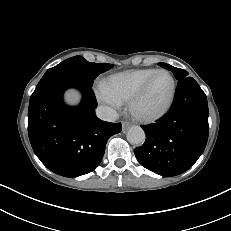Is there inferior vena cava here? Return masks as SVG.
<instances>
[{
  "label": "inferior vena cava",
  "instance_id": "obj_1",
  "mask_svg": "<svg viewBox=\"0 0 231 231\" xmlns=\"http://www.w3.org/2000/svg\"><path fill=\"white\" fill-rule=\"evenodd\" d=\"M96 115L99 119L109 122L115 121L118 117L117 112L108 106H99L96 109Z\"/></svg>",
  "mask_w": 231,
  "mask_h": 231
}]
</instances>
